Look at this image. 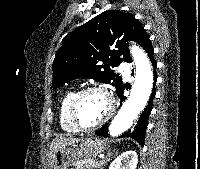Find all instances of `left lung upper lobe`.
<instances>
[{"instance_id":"obj_1","label":"left lung upper lobe","mask_w":200,"mask_h":169,"mask_svg":"<svg viewBox=\"0 0 200 169\" xmlns=\"http://www.w3.org/2000/svg\"><path fill=\"white\" fill-rule=\"evenodd\" d=\"M134 40L145 50L149 36L133 15L105 11L67 34L53 62V88L74 78H90L111 84L118 91L122 79L111 68L122 61L132 62L127 41Z\"/></svg>"}]
</instances>
